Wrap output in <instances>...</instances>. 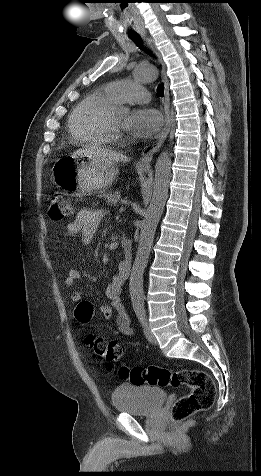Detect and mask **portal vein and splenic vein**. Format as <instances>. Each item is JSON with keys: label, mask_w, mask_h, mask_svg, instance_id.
Here are the masks:
<instances>
[{"label": "portal vein and splenic vein", "mask_w": 261, "mask_h": 476, "mask_svg": "<svg viewBox=\"0 0 261 476\" xmlns=\"http://www.w3.org/2000/svg\"><path fill=\"white\" fill-rule=\"evenodd\" d=\"M124 210H125V209H124L123 206H121L120 209H119L120 212H123Z\"/></svg>", "instance_id": "1"}]
</instances>
